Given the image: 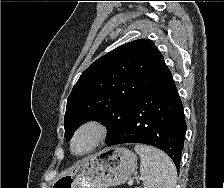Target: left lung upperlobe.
Returning a JSON list of instances; mask_svg holds the SVG:
<instances>
[{"mask_svg":"<svg viewBox=\"0 0 224 188\" xmlns=\"http://www.w3.org/2000/svg\"><path fill=\"white\" fill-rule=\"evenodd\" d=\"M169 72L149 39L126 43L100 57L82 73L68 97L65 138L69 141L82 123L98 120L108 128V142L140 94Z\"/></svg>","mask_w":224,"mask_h":188,"instance_id":"left-lung-upper-lobe-1","label":"left lung upper lobe"}]
</instances>
